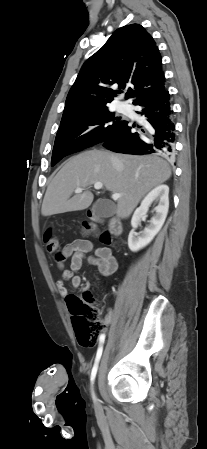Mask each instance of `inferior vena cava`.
Here are the masks:
<instances>
[{
    "instance_id": "obj_1",
    "label": "inferior vena cava",
    "mask_w": 207,
    "mask_h": 449,
    "mask_svg": "<svg viewBox=\"0 0 207 449\" xmlns=\"http://www.w3.org/2000/svg\"><path fill=\"white\" fill-rule=\"evenodd\" d=\"M112 158V160H115V158L114 157H111Z\"/></svg>"
}]
</instances>
